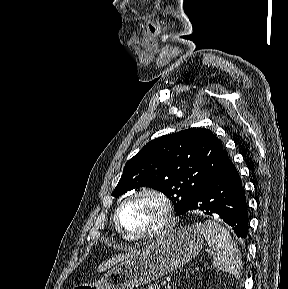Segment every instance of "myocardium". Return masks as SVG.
<instances>
[{"label":"myocardium","instance_id":"myocardium-1","mask_svg":"<svg viewBox=\"0 0 288 289\" xmlns=\"http://www.w3.org/2000/svg\"><path fill=\"white\" fill-rule=\"evenodd\" d=\"M143 195L155 197L161 202L164 209L163 222L156 229L148 232L143 233L129 232L124 228L121 222V213L127 204H129L135 198ZM175 219H176L175 207L172 201L163 192L153 188H142L133 192L120 203V205L117 207L115 211V224L117 229L122 235L131 240H144L161 237L173 229V227L175 226Z\"/></svg>","mask_w":288,"mask_h":289}]
</instances>
